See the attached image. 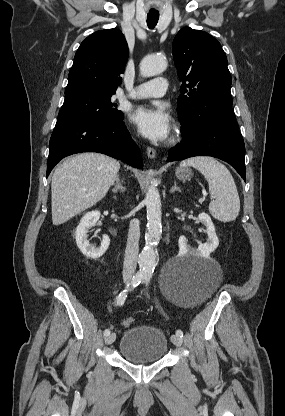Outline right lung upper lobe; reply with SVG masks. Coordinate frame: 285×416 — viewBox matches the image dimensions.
Listing matches in <instances>:
<instances>
[{
    "mask_svg": "<svg viewBox=\"0 0 285 416\" xmlns=\"http://www.w3.org/2000/svg\"><path fill=\"white\" fill-rule=\"evenodd\" d=\"M129 50L119 29L88 36L79 46L69 72L65 97H111L121 84Z\"/></svg>",
    "mask_w": 285,
    "mask_h": 416,
    "instance_id": "cb5924a9",
    "label": "right lung upper lobe"
}]
</instances>
